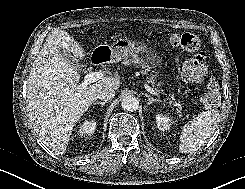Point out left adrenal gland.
Wrapping results in <instances>:
<instances>
[{"label":"left adrenal gland","instance_id":"a2214340","mask_svg":"<svg viewBox=\"0 0 245 189\" xmlns=\"http://www.w3.org/2000/svg\"><path fill=\"white\" fill-rule=\"evenodd\" d=\"M145 96L148 98V105H151L154 102H160L159 99L153 98L152 96H150L149 94L145 93Z\"/></svg>","mask_w":245,"mask_h":189}]
</instances>
